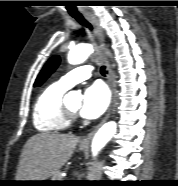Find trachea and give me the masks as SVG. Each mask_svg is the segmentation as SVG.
<instances>
[{
	"mask_svg": "<svg viewBox=\"0 0 178 186\" xmlns=\"http://www.w3.org/2000/svg\"><path fill=\"white\" fill-rule=\"evenodd\" d=\"M74 18L77 20V22H79L80 24L86 26L88 29L91 30V25L82 16L74 17ZM100 72L102 75H105V66L101 67Z\"/></svg>",
	"mask_w": 178,
	"mask_h": 186,
	"instance_id": "1",
	"label": "trachea"
}]
</instances>
